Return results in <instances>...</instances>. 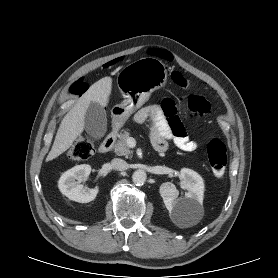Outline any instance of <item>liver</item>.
<instances>
[{
  "mask_svg": "<svg viewBox=\"0 0 278 278\" xmlns=\"http://www.w3.org/2000/svg\"><path fill=\"white\" fill-rule=\"evenodd\" d=\"M111 90L112 78L108 76L89 87L61 121L46 161L55 159L72 146L84 130L85 114L90 103L95 102L102 107L107 106Z\"/></svg>",
  "mask_w": 278,
  "mask_h": 278,
  "instance_id": "obj_1",
  "label": "liver"
}]
</instances>
